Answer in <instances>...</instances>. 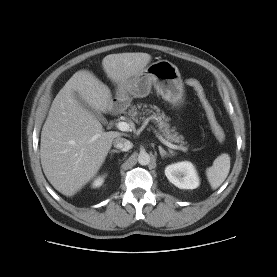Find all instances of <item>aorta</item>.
<instances>
[{"label":"aorta","instance_id":"aorta-1","mask_svg":"<svg viewBox=\"0 0 277 277\" xmlns=\"http://www.w3.org/2000/svg\"><path fill=\"white\" fill-rule=\"evenodd\" d=\"M138 162L140 165H148L150 163V155L147 152H140Z\"/></svg>","mask_w":277,"mask_h":277}]
</instances>
